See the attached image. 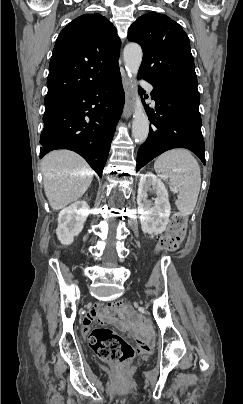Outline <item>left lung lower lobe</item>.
<instances>
[{"instance_id": "obj_1", "label": "left lung lower lobe", "mask_w": 243, "mask_h": 404, "mask_svg": "<svg viewBox=\"0 0 243 404\" xmlns=\"http://www.w3.org/2000/svg\"><path fill=\"white\" fill-rule=\"evenodd\" d=\"M149 83L154 87L151 96L156 102V114H150L149 107L146 106L152 126L146 142L138 150L136 170L173 148L189 149L205 164L199 92ZM139 90L141 94L144 92L141 87Z\"/></svg>"}]
</instances>
